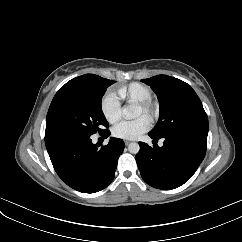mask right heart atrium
<instances>
[{"label":"right heart atrium","instance_id":"1","mask_svg":"<svg viewBox=\"0 0 242 242\" xmlns=\"http://www.w3.org/2000/svg\"><path fill=\"white\" fill-rule=\"evenodd\" d=\"M101 112L109 123H115L121 116L120 103L117 97L111 93H106L101 100Z\"/></svg>","mask_w":242,"mask_h":242}]
</instances>
